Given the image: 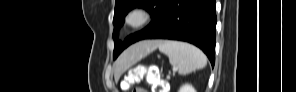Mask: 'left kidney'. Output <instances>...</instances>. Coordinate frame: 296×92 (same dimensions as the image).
<instances>
[{"label":"left kidney","instance_id":"1","mask_svg":"<svg viewBox=\"0 0 296 92\" xmlns=\"http://www.w3.org/2000/svg\"><path fill=\"white\" fill-rule=\"evenodd\" d=\"M179 92H196V90L192 85L185 84L182 87H180Z\"/></svg>","mask_w":296,"mask_h":92}]
</instances>
